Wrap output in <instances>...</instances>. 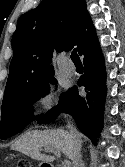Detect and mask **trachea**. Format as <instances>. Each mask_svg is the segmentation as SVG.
Here are the masks:
<instances>
[{"label": "trachea", "mask_w": 125, "mask_h": 167, "mask_svg": "<svg viewBox=\"0 0 125 167\" xmlns=\"http://www.w3.org/2000/svg\"><path fill=\"white\" fill-rule=\"evenodd\" d=\"M71 59H72V61L74 62L75 65H82V62H81V60H80V58H79V56L76 52V49H74L72 51Z\"/></svg>", "instance_id": "1"}]
</instances>
